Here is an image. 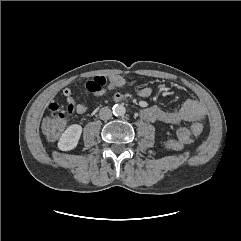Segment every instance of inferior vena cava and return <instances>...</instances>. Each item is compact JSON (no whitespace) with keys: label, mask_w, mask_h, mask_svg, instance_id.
I'll list each match as a JSON object with an SVG mask.
<instances>
[{"label":"inferior vena cava","mask_w":241,"mask_h":241,"mask_svg":"<svg viewBox=\"0 0 241 241\" xmlns=\"http://www.w3.org/2000/svg\"><path fill=\"white\" fill-rule=\"evenodd\" d=\"M99 117L102 120H109L112 117V111L108 107L102 108L99 111Z\"/></svg>","instance_id":"1"}]
</instances>
